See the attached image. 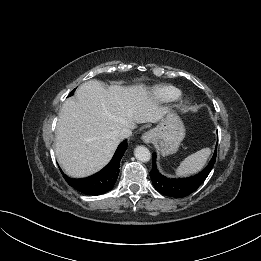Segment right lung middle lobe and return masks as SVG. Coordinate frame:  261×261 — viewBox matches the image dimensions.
Listing matches in <instances>:
<instances>
[{"instance_id":"1","label":"right lung middle lobe","mask_w":261,"mask_h":261,"mask_svg":"<svg viewBox=\"0 0 261 261\" xmlns=\"http://www.w3.org/2000/svg\"><path fill=\"white\" fill-rule=\"evenodd\" d=\"M74 91H75V89L69 94V96L73 95Z\"/></svg>"}]
</instances>
